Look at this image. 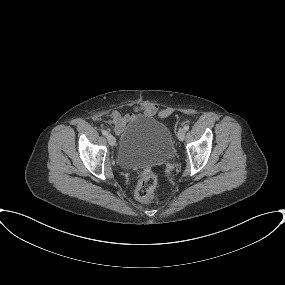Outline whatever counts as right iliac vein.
<instances>
[{"label": "right iliac vein", "instance_id": "obj_1", "mask_svg": "<svg viewBox=\"0 0 285 285\" xmlns=\"http://www.w3.org/2000/svg\"><path fill=\"white\" fill-rule=\"evenodd\" d=\"M107 140H108V143H109L111 146H114L115 143H116V139H115V137L112 136V135H108V136H107Z\"/></svg>", "mask_w": 285, "mask_h": 285}]
</instances>
